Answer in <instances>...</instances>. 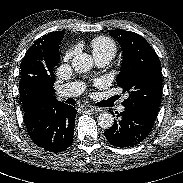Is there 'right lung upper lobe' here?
Returning a JSON list of instances; mask_svg holds the SVG:
<instances>
[{
	"mask_svg": "<svg viewBox=\"0 0 183 183\" xmlns=\"http://www.w3.org/2000/svg\"><path fill=\"white\" fill-rule=\"evenodd\" d=\"M63 32L55 31L35 41L20 66L19 93L23 109L43 100H55L54 66L59 62L58 43Z\"/></svg>",
	"mask_w": 183,
	"mask_h": 183,
	"instance_id": "cb5924a9",
	"label": "right lung upper lobe"
}]
</instances>
